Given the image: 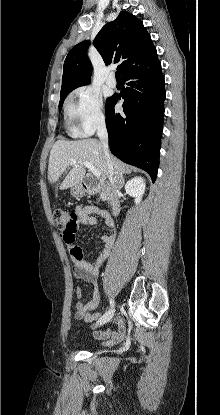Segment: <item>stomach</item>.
<instances>
[{
	"mask_svg": "<svg viewBox=\"0 0 220 415\" xmlns=\"http://www.w3.org/2000/svg\"><path fill=\"white\" fill-rule=\"evenodd\" d=\"M71 194L75 197L82 196L84 194V188L81 185H77L71 188Z\"/></svg>",
	"mask_w": 220,
	"mask_h": 415,
	"instance_id": "stomach-1",
	"label": "stomach"
}]
</instances>
